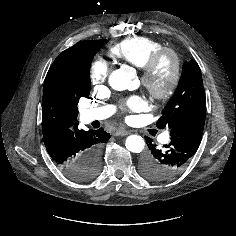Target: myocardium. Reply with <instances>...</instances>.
I'll use <instances>...</instances> for the list:
<instances>
[{"label":"myocardium","mask_w":236,"mask_h":236,"mask_svg":"<svg viewBox=\"0 0 236 236\" xmlns=\"http://www.w3.org/2000/svg\"><path fill=\"white\" fill-rule=\"evenodd\" d=\"M165 58L172 61V71L170 79L166 86L159 85L154 80V75ZM182 72V60L180 55L171 48H161L155 52L147 62L141 67L140 76L143 86L157 100H167L176 91Z\"/></svg>","instance_id":"f54148a6"}]
</instances>
